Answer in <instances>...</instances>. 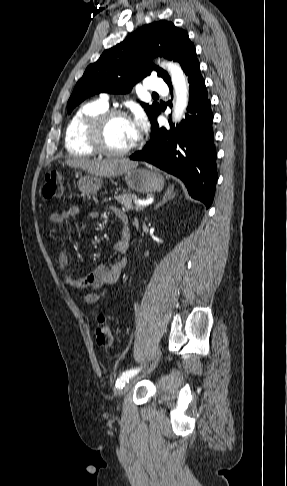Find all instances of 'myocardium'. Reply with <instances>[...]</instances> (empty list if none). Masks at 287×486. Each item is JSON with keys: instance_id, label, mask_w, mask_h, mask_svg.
<instances>
[{"instance_id": "f54148a6", "label": "myocardium", "mask_w": 287, "mask_h": 486, "mask_svg": "<svg viewBox=\"0 0 287 486\" xmlns=\"http://www.w3.org/2000/svg\"><path fill=\"white\" fill-rule=\"evenodd\" d=\"M117 118L129 119L126 112L113 108L98 114L88 123L86 128V141L95 153L109 157H120L129 154L136 148V141L121 150H114L106 145L104 139L105 131L108 125Z\"/></svg>"}]
</instances>
